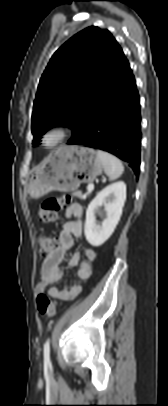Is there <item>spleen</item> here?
<instances>
[{"instance_id": "3e777b00", "label": "spleen", "mask_w": 168, "mask_h": 406, "mask_svg": "<svg viewBox=\"0 0 168 406\" xmlns=\"http://www.w3.org/2000/svg\"><path fill=\"white\" fill-rule=\"evenodd\" d=\"M97 157L103 165L104 171L110 180H115L119 178L123 171L124 167L122 162L115 156L107 153L105 151L98 150Z\"/></svg>"}]
</instances>
